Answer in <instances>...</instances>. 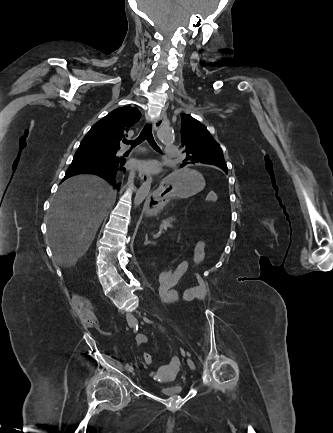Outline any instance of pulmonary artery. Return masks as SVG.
I'll return each mask as SVG.
<instances>
[{
    "mask_svg": "<svg viewBox=\"0 0 333 433\" xmlns=\"http://www.w3.org/2000/svg\"><path fill=\"white\" fill-rule=\"evenodd\" d=\"M138 150H139V149H138ZM175 150H176V148H175V146L172 145V144H166L165 147H164L165 154L168 155V156H172V155H174ZM127 151H128V148H126V147H124V148L121 150V152H123V153H124V152H127Z\"/></svg>",
    "mask_w": 333,
    "mask_h": 433,
    "instance_id": "1",
    "label": "pulmonary artery"
}]
</instances>
